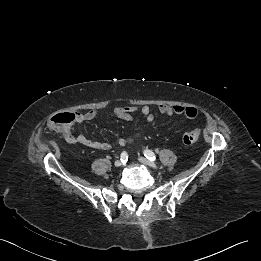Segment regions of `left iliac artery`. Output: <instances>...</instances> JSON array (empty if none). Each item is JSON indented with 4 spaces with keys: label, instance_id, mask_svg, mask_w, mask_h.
Wrapping results in <instances>:
<instances>
[{
    "label": "left iliac artery",
    "instance_id": "44dca946",
    "mask_svg": "<svg viewBox=\"0 0 261 261\" xmlns=\"http://www.w3.org/2000/svg\"><path fill=\"white\" fill-rule=\"evenodd\" d=\"M143 153H144V156H145L147 159H149V160H151V161H155V160H156V156H155V154H154L152 151L146 149V150H144Z\"/></svg>",
    "mask_w": 261,
    "mask_h": 261
}]
</instances>
